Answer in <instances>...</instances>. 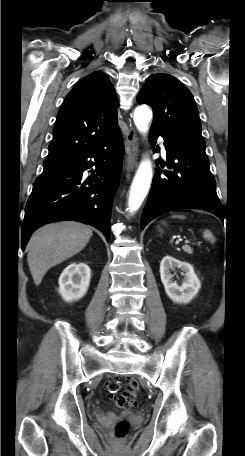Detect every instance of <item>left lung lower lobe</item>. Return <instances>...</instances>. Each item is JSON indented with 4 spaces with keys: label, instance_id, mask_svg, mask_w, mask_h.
Returning <instances> with one entry per match:
<instances>
[{
    "label": "left lung lower lobe",
    "instance_id": "1",
    "mask_svg": "<svg viewBox=\"0 0 245 456\" xmlns=\"http://www.w3.org/2000/svg\"><path fill=\"white\" fill-rule=\"evenodd\" d=\"M162 136L167 152L168 170L158 168L141 216L143 229L156 217L176 209H201L224 219L216 193L215 179L204 150L195 148L170 133L151 130L150 143ZM164 166V163H160Z\"/></svg>",
    "mask_w": 245,
    "mask_h": 456
}]
</instances>
